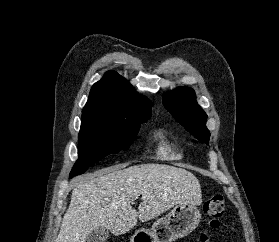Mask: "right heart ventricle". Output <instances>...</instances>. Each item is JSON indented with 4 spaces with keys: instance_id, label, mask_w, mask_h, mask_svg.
I'll return each instance as SVG.
<instances>
[{
    "instance_id": "right-heart-ventricle-1",
    "label": "right heart ventricle",
    "mask_w": 279,
    "mask_h": 242,
    "mask_svg": "<svg viewBox=\"0 0 279 242\" xmlns=\"http://www.w3.org/2000/svg\"><path fill=\"white\" fill-rule=\"evenodd\" d=\"M157 140L156 155L161 160L179 161L184 157L180 145L170 138L165 132L158 131L155 135Z\"/></svg>"
}]
</instances>
